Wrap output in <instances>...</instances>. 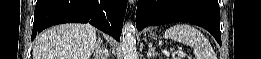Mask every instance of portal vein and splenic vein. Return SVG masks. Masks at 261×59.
I'll return each instance as SVG.
<instances>
[{"label":"portal vein and splenic vein","instance_id":"18ae733b","mask_svg":"<svg viewBox=\"0 0 261 59\" xmlns=\"http://www.w3.org/2000/svg\"><path fill=\"white\" fill-rule=\"evenodd\" d=\"M162 52H163L164 54H167V55H168V52H167L166 50H163Z\"/></svg>","mask_w":261,"mask_h":59}]
</instances>
